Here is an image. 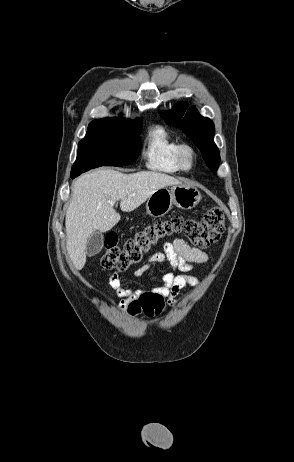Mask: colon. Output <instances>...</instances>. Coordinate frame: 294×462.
I'll list each match as a JSON object with an SVG mask.
<instances>
[{
  "mask_svg": "<svg viewBox=\"0 0 294 462\" xmlns=\"http://www.w3.org/2000/svg\"><path fill=\"white\" fill-rule=\"evenodd\" d=\"M225 230V218L218 207L210 208L200 219L175 217L157 221L137 231L120 247L116 234H109L101 257V266L106 270L126 271L141 262L143 257L161 240L175 232H183L188 240L200 248L217 242ZM165 307L162 296L144 292L128 304L131 314L158 315Z\"/></svg>",
  "mask_w": 294,
  "mask_h": 462,
  "instance_id": "colon-1",
  "label": "colon"
}]
</instances>
